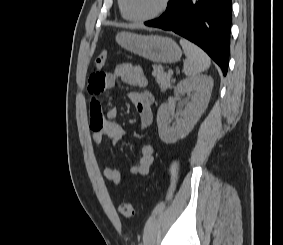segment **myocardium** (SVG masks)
<instances>
[{"mask_svg":"<svg viewBox=\"0 0 283 245\" xmlns=\"http://www.w3.org/2000/svg\"><path fill=\"white\" fill-rule=\"evenodd\" d=\"M119 2H120V10H121L123 17L132 22H147V21L156 19L160 17L167 10L170 4V0H162L160 7L152 14L148 16H144V17H132V16H129L126 12L125 0H119Z\"/></svg>","mask_w":283,"mask_h":245,"instance_id":"1","label":"myocardium"}]
</instances>
